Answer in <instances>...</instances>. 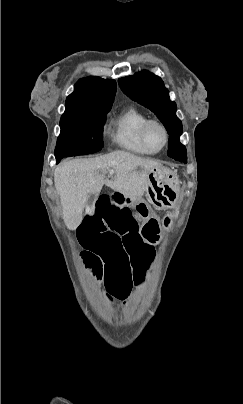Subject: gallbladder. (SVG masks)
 I'll return each mask as SVG.
<instances>
[{"label":"gallbladder","mask_w":243,"mask_h":404,"mask_svg":"<svg viewBox=\"0 0 243 404\" xmlns=\"http://www.w3.org/2000/svg\"><path fill=\"white\" fill-rule=\"evenodd\" d=\"M97 198H98V194H90V196H89V198H88V200H87V202H86V204H87V207H86V210L87 211H92L93 210V207L92 206H95L96 205V200H97ZM91 216V215H90Z\"/></svg>","instance_id":"1"}]
</instances>
